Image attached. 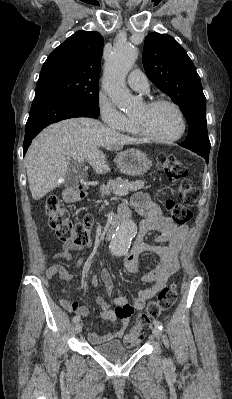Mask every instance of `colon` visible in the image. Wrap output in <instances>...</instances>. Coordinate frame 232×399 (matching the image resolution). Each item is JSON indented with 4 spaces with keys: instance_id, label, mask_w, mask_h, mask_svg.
I'll use <instances>...</instances> for the list:
<instances>
[{
    "instance_id": "1",
    "label": "colon",
    "mask_w": 232,
    "mask_h": 399,
    "mask_svg": "<svg viewBox=\"0 0 232 399\" xmlns=\"http://www.w3.org/2000/svg\"><path fill=\"white\" fill-rule=\"evenodd\" d=\"M150 160L154 164H159L164 172H174L173 180L178 187V203L175 198H165V211L171 213V218H176V222H194L191 209L196 208V203H191L193 196H200V191H193V181L191 180V163L186 160L174 159L166 153L154 151L150 155ZM47 195V200H42V206L45 211V218L49 221V227H53L57 239L71 240L73 244L85 245L95 237L92 215H83L85 222H72L70 216L64 208L56 201L53 194ZM172 289H178V284H168V289H159L161 296H156L152 302L144 309L139 316L138 322L132 325V330L125 335V347H138V341L148 331L153 317L162 316V312H168L175 306L176 293Z\"/></svg>"
}]
</instances>
